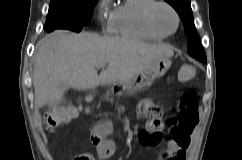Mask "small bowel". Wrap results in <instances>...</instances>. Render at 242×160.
Instances as JSON below:
<instances>
[{
	"label": "small bowel",
	"instance_id": "obj_1",
	"mask_svg": "<svg viewBox=\"0 0 242 160\" xmlns=\"http://www.w3.org/2000/svg\"><path fill=\"white\" fill-rule=\"evenodd\" d=\"M146 107H147V105H143L141 107L142 113H145ZM173 129H175V128L173 127ZM110 130H111V126L109 123H104V124L98 126L97 128H95V132L92 136V142L96 148L97 153L100 150H107L109 152L108 156H110L114 153V151H115L114 142L106 138V136L108 135ZM183 136L185 137L184 146H182L179 143V141L176 140L170 134V138L167 141L166 148L160 153L158 160H186L187 150L191 143V132L190 133L183 132ZM108 156H106V157H108Z\"/></svg>",
	"mask_w": 242,
	"mask_h": 160
}]
</instances>
